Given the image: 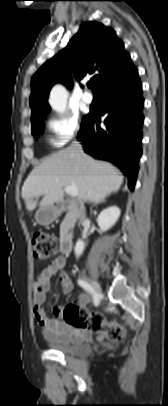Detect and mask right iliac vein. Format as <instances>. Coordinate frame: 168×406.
<instances>
[{"label": "right iliac vein", "mask_w": 168, "mask_h": 406, "mask_svg": "<svg viewBox=\"0 0 168 406\" xmlns=\"http://www.w3.org/2000/svg\"><path fill=\"white\" fill-rule=\"evenodd\" d=\"M91 284H92L94 292L96 294L100 295L102 293V290H101L99 283L96 280L92 279Z\"/></svg>", "instance_id": "obj_1"}]
</instances>
